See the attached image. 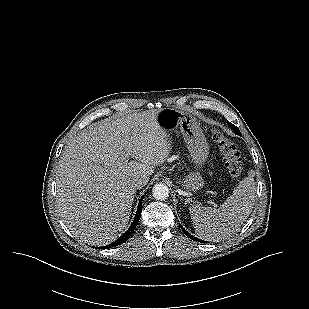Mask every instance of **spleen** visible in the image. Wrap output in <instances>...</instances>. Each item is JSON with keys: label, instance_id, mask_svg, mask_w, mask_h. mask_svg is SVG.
<instances>
[{"label": "spleen", "instance_id": "spleen-1", "mask_svg": "<svg viewBox=\"0 0 309 309\" xmlns=\"http://www.w3.org/2000/svg\"><path fill=\"white\" fill-rule=\"evenodd\" d=\"M255 199L254 179L246 177L218 209L200 204L190 206L195 233L207 241L218 242L229 238L247 220Z\"/></svg>", "mask_w": 309, "mask_h": 309}]
</instances>
